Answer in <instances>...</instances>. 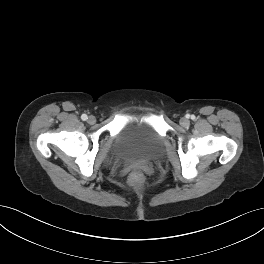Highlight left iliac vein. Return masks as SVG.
Returning a JSON list of instances; mask_svg holds the SVG:
<instances>
[{"label": "left iliac vein", "mask_w": 264, "mask_h": 264, "mask_svg": "<svg viewBox=\"0 0 264 264\" xmlns=\"http://www.w3.org/2000/svg\"><path fill=\"white\" fill-rule=\"evenodd\" d=\"M180 124L182 126H188L189 125V120L187 118H181Z\"/></svg>", "instance_id": "4c4485c4"}]
</instances>
